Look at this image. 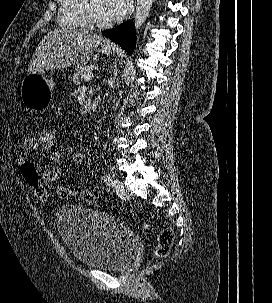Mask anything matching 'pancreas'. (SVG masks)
I'll list each match as a JSON object with an SVG mask.
<instances>
[{
	"label": "pancreas",
	"instance_id": "obj_1",
	"mask_svg": "<svg viewBox=\"0 0 272 303\" xmlns=\"http://www.w3.org/2000/svg\"><path fill=\"white\" fill-rule=\"evenodd\" d=\"M91 71L90 65H83L76 69L75 73L73 74V83L75 85L80 84V80L83 79L89 72Z\"/></svg>",
	"mask_w": 272,
	"mask_h": 303
}]
</instances>
